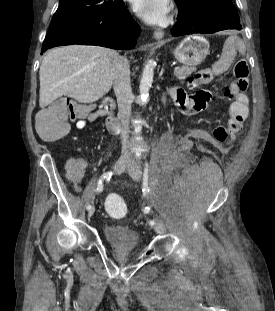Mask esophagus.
Listing matches in <instances>:
<instances>
[{"label":"esophagus","instance_id":"1","mask_svg":"<svg viewBox=\"0 0 275 311\" xmlns=\"http://www.w3.org/2000/svg\"><path fill=\"white\" fill-rule=\"evenodd\" d=\"M153 36L158 42H161L164 37V31L162 29H157L154 31Z\"/></svg>","mask_w":275,"mask_h":311}]
</instances>
